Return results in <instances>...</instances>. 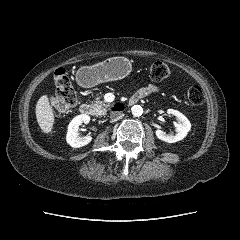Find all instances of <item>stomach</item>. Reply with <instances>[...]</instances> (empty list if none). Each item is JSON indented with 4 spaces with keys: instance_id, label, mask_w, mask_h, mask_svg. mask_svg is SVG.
Returning a JSON list of instances; mask_svg holds the SVG:
<instances>
[{
    "instance_id": "stomach-1",
    "label": "stomach",
    "mask_w": 240,
    "mask_h": 240,
    "mask_svg": "<svg viewBox=\"0 0 240 240\" xmlns=\"http://www.w3.org/2000/svg\"><path fill=\"white\" fill-rule=\"evenodd\" d=\"M130 62L123 57H111L103 62L91 66L81 67L77 76L86 86H95L99 83L119 80L130 72Z\"/></svg>"
}]
</instances>
